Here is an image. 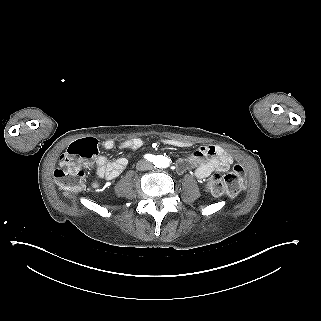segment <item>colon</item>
<instances>
[{
    "mask_svg": "<svg viewBox=\"0 0 321 321\" xmlns=\"http://www.w3.org/2000/svg\"><path fill=\"white\" fill-rule=\"evenodd\" d=\"M98 153L95 139L89 138L72 143L59 158V166L53 174L56 184L67 193L80 191L85 186L86 175L77 161L94 159ZM245 182L244 169L236 164L227 174H214L208 181V189L215 195L235 197L245 186Z\"/></svg>",
    "mask_w": 321,
    "mask_h": 321,
    "instance_id": "obj_1",
    "label": "colon"
}]
</instances>
